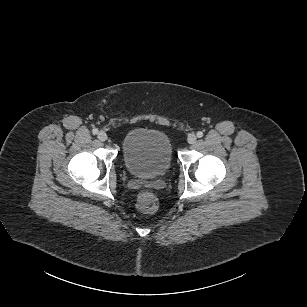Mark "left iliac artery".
Returning a JSON list of instances; mask_svg holds the SVG:
<instances>
[{"label": "left iliac artery", "instance_id": "obj_1", "mask_svg": "<svg viewBox=\"0 0 307 307\" xmlns=\"http://www.w3.org/2000/svg\"><path fill=\"white\" fill-rule=\"evenodd\" d=\"M197 137H198V138L203 137V132H201V131L197 132Z\"/></svg>", "mask_w": 307, "mask_h": 307}]
</instances>
